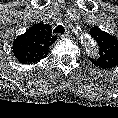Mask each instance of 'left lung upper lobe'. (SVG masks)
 <instances>
[{
  "mask_svg": "<svg viewBox=\"0 0 118 118\" xmlns=\"http://www.w3.org/2000/svg\"><path fill=\"white\" fill-rule=\"evenodd\" d=\"M90 34L99 45V57L89 58V60L102 69L118 65V40L97 26L90 29Z\"/></svg>",
  "mask_w": 118,
  "mask_h": 118,
  "instance_id": "1",
  "label": "left lung upper lobe"
}]
</instances>
